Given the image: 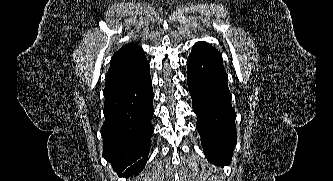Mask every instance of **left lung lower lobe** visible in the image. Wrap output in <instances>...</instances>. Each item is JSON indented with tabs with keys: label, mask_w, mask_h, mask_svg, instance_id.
<instances>
[{
	"label": "left lung lower lobe",
	"mask_w": 333,
	"mask_h": 181,
	"mask_svg": "<svg viewBox=\"0 0 333 181\" xmlns=\"http://www.w3.org/2000/svg\"><path fill=\"white\" fill-rule=\"evenodd\" d=\"M187 66L189 92L203 151L213 164L229 165L237 137L236 113L231 105L223 59L194 46Z\"/></svg>",
	"instance_id": "0a47b994"
}]
</instances>
